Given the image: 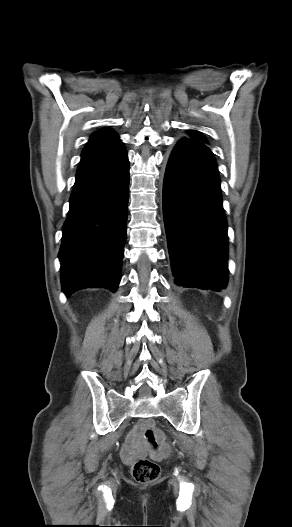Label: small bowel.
<instances>
[{
  "instance_id": "obj_1",
  "label": "small bowel",
  "mask_w": 292,
  "mask_h": 527,
  "mask_svg": "<svg viewBox=\"0 0 292 527\" xmlns=\"http://www.w3.org/2000/svg\"><path fill=\"white\" fill-rule=\"evenodd\" d=\"M158 433H161V430H158ZM146 453L153 456V462L155 464H160L162 458L170 453V446L166 441L162 440L158 449L150 448L143 439L140 426H137L127 436L121 454L124 460L130 462L134 458L144 456ZM127 466H130V463H127Z\"/></svg>"
}]
</instances>
